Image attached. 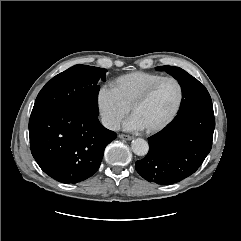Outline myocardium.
Masks as SVG:
<instances>
[{
  "label": "myocardium",
  "mask_w": 241,
  "mask_h": 241,
  "mask_svg": "<svg viewBox=\"0 0 241 241\" xmlns=\"http://www.w3.org/2000/svg\"><path fill=\"white\" fill-rule=\"evenodd\" d=\"M165 81H172L177 85V87H178V100H177L176 106L173 109V111L171 112V114L163 122H161L160 124H158L154 127L146 128V131L148 133H156V132H159V131L163 130L169 124H171L174 121V119L176 118V116L178 115V113L181 109L182 103H183V99H184V89H183V86H182L181 82L178 79H176L175 77H172V76L162 77L159 80L152 83L150 86H148L134 100V102L130 106V111L133 114L135 109L137 107H139L140 105L144 104L151 97V95L156 90V88Z\"/></svg>",
  "instance_id": "obj_1"
}]
</instances>
